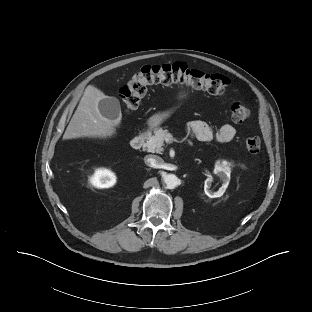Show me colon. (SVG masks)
<instances>
[{
  "label": "colon",
  "instance_id": "1",
  "mask_svg": "<svg viewBox=\"0 0 312 312\" xmlns=\"http://www.w3.org/2000/svg\"><path fill=\"white\" fill-rule=\"evenodd\" d=\"M181 83L202 89L212 95L224 94L229 85V79L221 74H209L190 68L185 63L174 62L142 66L129 81L119 90V97L126 111L137 109L152 84ZM250 109L242 102L231 106V118L235 122H243L249 118ZM245 148L256 154L261 149V141L252 136L245 139Z\"/></svg>",
  "mask_w": 312,
  "mask_h": 312
}]
</instances>
